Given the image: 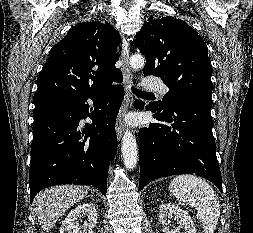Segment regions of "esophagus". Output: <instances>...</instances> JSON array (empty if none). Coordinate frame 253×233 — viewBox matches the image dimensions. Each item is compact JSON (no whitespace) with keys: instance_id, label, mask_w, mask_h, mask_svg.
<instances>
[{"instance_id":"esophagus-1","label":"esophagus","mask_w":253,"mask_h":233,"mask_svg":"<svg viewBox=\"0 0 253 233\" xmlns=\"http://www.w3.org/2000/svg\"><path fill=\"white\" fill-rule=\"evenodd\" d=\"M129 46V41L126 38H123L121 60L122 72L124 76L125 96L116 121V135L118 140L121 139L123 134L124 117L128 111V108L131 107L133 103V97L130 88L133 81V75L129 65Z\"/></svg>"}]
</instances>
